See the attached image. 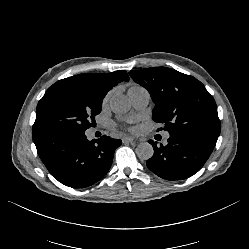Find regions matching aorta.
<instances>
[{"mask_svg":"<svg viewBox=\"0 0 249 249\" xmlns=\"http://www.w3.org/2000/svg\"><path fill=\"white\" fill-rule=\"evenodd\" d=\"M130 107V102L124 95L117 94L110 99V108L116 114H124ZM136 154L141 160H148L153 156L154 149L150 143L143 142L137 146Z\"/></svg>","mask_w":249,"mask_h":249,"instance_id":"obj_1","label":"aorta"}]
</instances>
